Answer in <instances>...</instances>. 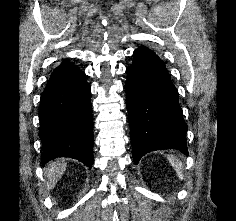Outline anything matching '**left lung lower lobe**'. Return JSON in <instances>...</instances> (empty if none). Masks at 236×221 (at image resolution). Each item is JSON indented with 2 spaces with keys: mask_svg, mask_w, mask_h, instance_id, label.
<instances>
[{
  "mask_svg": "<svg viewBox=\"0 0 236 221\" xmlns=\"http://www.w3.org/2000/svg\"><path fill=\"white\" fill-rule=\"evenodd\" d=\"M133 56L125 91L135 163L155 150L177 149L187 155V124L163 61L143 46Z\"/></svg>",
  "mask_w": 236,
  "mask_h": 221,
  "instance_id": "1",
  "label": "left lung lower lobe"
}]
</instances>
